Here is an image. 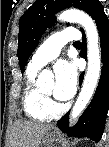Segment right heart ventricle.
<instances>
[{"label": "right heart ventricle", "instance_id": "1", "mask_svg": "<svg viewBox=\"0 0 109 147\" xmlns=\"http://www.w3.org/2000/svg\"><path fill=\"white\" fill-rule=\"evenodd\" d=\"M38 70V68L29 65L25 71L22 104L28 117L36 121H44L50 117L52 109L48 106L41 89L35 83Z\"/></svg>", "mask_w": 109, "mask_h": 147}]
</instances>
